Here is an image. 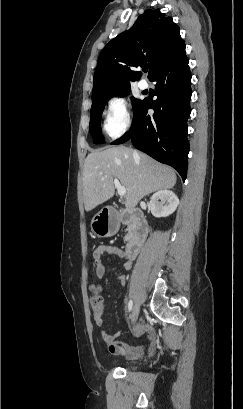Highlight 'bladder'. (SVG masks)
I'll return each mask as SVG.
<instances>
[{"label":"bladder","instance_id":"1","mask_svg":"<svg viewBox=\"0 0 243 409\" xmlns=\"http://www.w3.org/2000/svg\"><path fill=\"white\" fill-rule=\"evenodd\" d=\"M125 367L132 369L133 366L131 364H125Z\"/></svg>","mask_w":243,"mask_h":409}]
</instances>
